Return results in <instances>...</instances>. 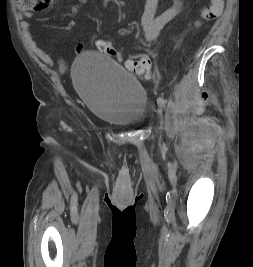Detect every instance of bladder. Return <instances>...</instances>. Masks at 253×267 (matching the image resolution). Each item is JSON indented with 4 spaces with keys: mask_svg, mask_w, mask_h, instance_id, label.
Listing matches in <instances>:
<instances>
[{
    "mask_svg": "<svg viewBox=\"0 0 253 267\" xmlns=\"http://www.w3.org/2000/svg\"><path fill=\"white\" fill-rule=\"evenodd\" d=\"M75 89L99 119L120 127L143 122L149 104L147 90L108 55L85 51L72 65Z\"/></svg>",
    "mask_w": 253,
    "mask_h": 267,
    "instance_id": "1",
    "label": "bladder"
}]
</instances>
